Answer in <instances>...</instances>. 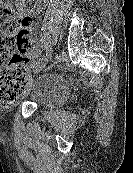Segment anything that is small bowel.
I'll return each mask as SVG.
<instances>
[{"label":"small bowel","mask_w":133,"mask_h":173,"mask_svg":"<svg viewBox=\"0 0 133 173\" xmlns=\"http://www.w3.org/2000/svg\"><path fill=\"white\" fill-rule=\"evenodd\" d=\"M39 55V49L38 47L34 44V46L32 47V49L28 52L27 56H26V60L23 62V67H29V65H31L36 58Z\"/></svg>","instance_id":"obj_1"}]
</instances>
